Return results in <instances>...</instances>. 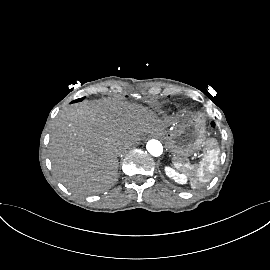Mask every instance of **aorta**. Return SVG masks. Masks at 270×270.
I'll return each instance as SVG.
<instances>
[{"label": "aorta", "instance_id": "762f6f07", "mask_svg": "<svg viewBox=\"0 0 270 270\" xmlns=\"http://www.w3.org/2000/svg\"><path fill=\"white\" fill-rule=\"evenodd\" d=\"M147 151L155 157H158L162 154L163 152V146L160 143V141L152 139L147 142L146 145Z\"/></svg>", "mask_w": 270, "mask_h": 270}]
</instances>
